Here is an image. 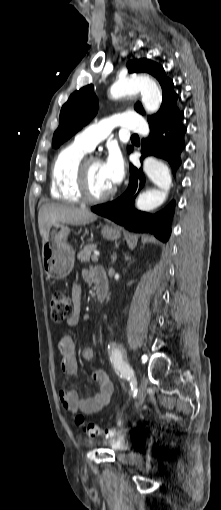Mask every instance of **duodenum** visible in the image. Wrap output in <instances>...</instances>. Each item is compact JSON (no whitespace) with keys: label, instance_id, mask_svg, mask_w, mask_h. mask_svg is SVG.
<instances>
[{"label":"duodenum","instance_id":"obj_1","mask_svg":"<svg viewBox=\"0 0 221 510\" xmlns=\"http://www.w3.org/2000/svg\"><path fill=\"white\" fill-rule=\"evenodd\" d=\"M93 280L95 283L96 296L99 301H103L108 293V279L103 268H95L93 272Z\"/></svg>","mask_w":221,"mask_h":510}]
</instances>
